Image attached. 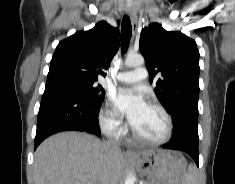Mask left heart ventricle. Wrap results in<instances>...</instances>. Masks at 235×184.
<instances>
[{
    "mask_svg": "<svg viewBox=\"0 0 235 184\" xmlns=\"http://www.w3.org/2000/svg\"><path fill=\"white\" fill-rule=\"evenodd\" d=\"M133 128L142 137L159 139L166 133L167 122L159 110L148 106Z\"/></svg>",
    "mask_w": 235,
    "mask_h": 184,
    "instance_id": "b2bd125f",
    "label": "left heart ventricle"
}]
</instances>
